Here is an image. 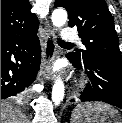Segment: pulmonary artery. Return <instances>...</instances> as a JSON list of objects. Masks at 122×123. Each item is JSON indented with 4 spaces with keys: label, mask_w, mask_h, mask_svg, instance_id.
<instances>
[{
    "label": "pulmonary artery",
    "mask_w": 122,
    "mask_h": 123,
    "mask_svg": "<svg viewBox=\"0 0 122 123\" xmlns=\"http://www.w3.org/2000/svg\"><path fill=\"white\" fill-rule=\"evenodd\" d=\"M62 39L65 42L73 43V42L78 41L79 38L76 32H74L72 29L65 28L62 32Z\"/></svg>",
    "instance_id": "obj_1"
}]
</instances>
